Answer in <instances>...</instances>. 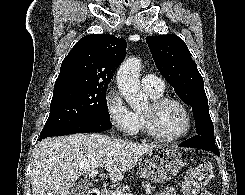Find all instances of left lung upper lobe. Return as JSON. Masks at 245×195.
Masks as SVG:
<instances>
[{"mask_svg": "<svg viewBox=\"0 0 245 195\" xmlns=\"http://www.w3.org/2000/svg\"><path fill=\"white\" fill-rule=\"evenodd\" d=\"M157 69L176 94L192 107L198 135L215 142L204 82L185 42L175 34L146 37Z\"/></svg>", "mask_w": 245, "mask_h": 195, "instance_id": "1", "label": "left lung upper lobe"}]
</instances>
